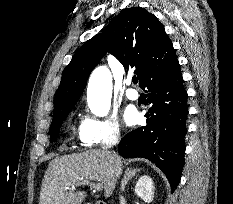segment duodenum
<instances>
[{
	"label": "duodenum",
	"mask_w": 233,
	"mask_h": 204,
	"mask_svg": "<svg viewBox=\"0 0 233 204\" xmlns=\"http://www.w3.org/2000/svg\"><path fill=\"white\" fill-rule=\"evenodd\" d=\"M88 204H106V203L102 201H96L95 203H88Z\"/></svg>",
	"instance_id": "1"
}]
</instances>
